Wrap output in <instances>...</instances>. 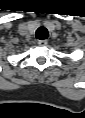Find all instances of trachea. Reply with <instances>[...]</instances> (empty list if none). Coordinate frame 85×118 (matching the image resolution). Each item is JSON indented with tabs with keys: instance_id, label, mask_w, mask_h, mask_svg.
<instances>
[{
	"instance_id": "1",
	"label": "trachea",
	"mask_w": 85,
	"mask_h": 118,
	"mask_svg": "<svg viewBox=\"0 0 85 118\" xmlns=\"http://www.w3.org/2000/svg\"><path fill=\"white\" fill-rule=\"evenodd\" d=\"M35 36H36L37 39L44 40V39H47L48 38L49 33H48V31H47L46 28L39 27L36 30Z\"/></svg>"
}]
</instances>
